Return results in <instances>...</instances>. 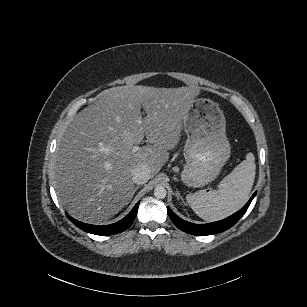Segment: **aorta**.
<instances>
[{
	"label": "aorta",
	"mask_w": 307,
	"mask_h": 307,
	"mask_svg": "<svg viewBox=\"0 0 307 307\" xmlns=\"http://www.w3.org/2000/svg\"><path fill=\"white\" fill-rule=\"evenodd\" d=\"M154 195L156 198L158 199H163L166 197L167 195V190L165 187L161 186V185H157L154 189Z\"/></svg>",
	"instance_id": "762f6f07"
}]
</instances>
